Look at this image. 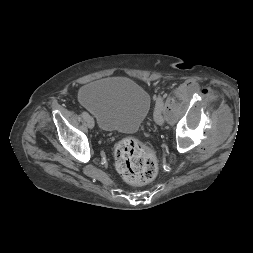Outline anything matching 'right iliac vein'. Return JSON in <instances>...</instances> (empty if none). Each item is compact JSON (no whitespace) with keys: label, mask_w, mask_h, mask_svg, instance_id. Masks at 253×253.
<instances>
[{"label":"right iliac vein","mask_w":253,"mask_h":253,"mask_svg":"<svg viewBox=\"0 0 253 253\" xmlns=\"http://www.w3.org/2000/svg\"><path fill=\"white\" fill-rule=\"evenodd\" d=\"M87 125L90 129H93L95 126L94 120L92 117L88 116L86 119Z\"/></svg>","instance_id":"63e3f726"}]
</instances>
